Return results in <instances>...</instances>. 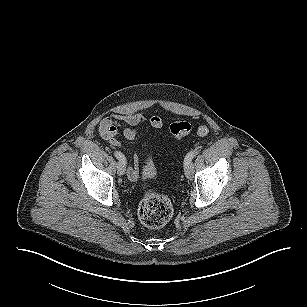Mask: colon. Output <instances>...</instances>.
<instances>
[{"label":"colon","mask_w":307,"mask_h":307,"mask_svg":"<svg viewBox=\"0 0 307 307\" xmlns=\"http://www.w3.org/2000/svg\"><path fill=\"white\" fill-rule=\"evenodd\" d=\"M192 130V126L185 121H178L170 125V133L176 139H181L188 135ZM209 128L201 125L197 128L198 136L205 137L209 134ZM143 177L146 179H154L157 176V170L152 162L150 153H146L145 164L143 167ZM173 214L171 201L153 191H147L138 207V217L140 221L150 228H159L168 223Z\"/></svg>","instance_id":"5ec220e1"}]
</instances>
